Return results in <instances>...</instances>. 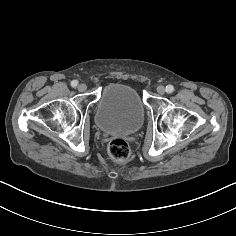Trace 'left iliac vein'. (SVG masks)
Masks as SVG:
<instances>
[{
    "label": "left iliac vein",
    "mask_w": 236,
    "mask_h": 236,
    "mask_svg": "<svg viewBox=\"0 0 236 236\" xmlns=\"http://www.w3.org/2000/svg\"><path fill=\"white\" fill-rule=\"evenodd\" d=\"M157 92H158V94H160V95L165 94V87L162 86V85L158 86V87H157Z\"/></svg>",
    "instance_id": "1"
}]
</instances>
